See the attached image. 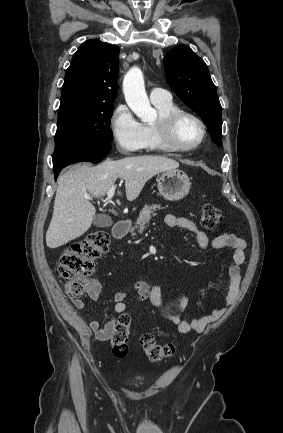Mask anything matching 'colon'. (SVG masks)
Segmentation results:
<instances>
[{"mask_svg": "<svg viewBox=\"0 0 283 433\" xmlns=\"http://www.w3.org/2000/svg\"><path fill=\"white\" fill-rule=\"evenodd\" d=\"M221 221L222 213L216 206L211 203H204L201 206L200 222L205 229L215 230ZM109 242L110 238L106 232L95 231L61 254L58 272L62 278L68 280L65 290L70 298H80L88 292L89 285L85 278L93 272L95 260L107 252ZM130 327L131 317L127 313H122L110 336L112 352L116 357H124L128 352ZM140 344L152 362L166 359L175 351L174 344H159L151 333L143 334Z\"/></svg>", "mask_w": 283, "mask_h": 433, "instance_id": "colon-1", "label": "colon"}]
</instances>
